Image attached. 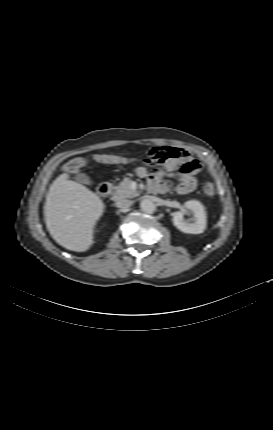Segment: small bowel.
<instances>
[{
  "mask_svg": "<svg viewBox=\"0 0 273 430\" xmlns=\"http://www.w3.org/2000/svg\"><path fill=\"white\" fill-rule=\"evenodd\" d=\"M146 161L156 166L153 171L136 167L135 173L140 177L148 178L151 190L159 193L170 189L166 178L175 176L177 170H179V177L175 190L180 194L193 191L197 185V174L202 169L200 162L194 159L190 152L171 146L151 149Z\"/></svg>",
  "mask_w": 273,
  "mask_h": 430,
  "instance_id": "1",
  "label": "small bowel"
}]
</instances>
